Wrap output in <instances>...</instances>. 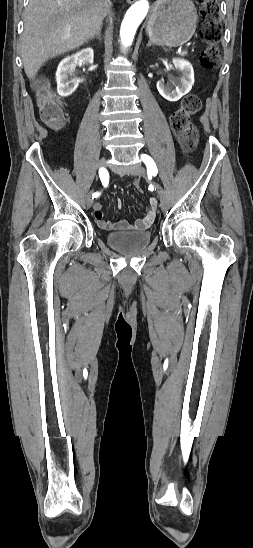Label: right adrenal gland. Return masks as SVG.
<instances>
[{
	"mask_svg": "<svg viewBox=\"0 0 253 548\" xmlns=\"http://www.w3.org/2000/svg\"><path fill=\"white\" fill-rule=\"evenodd\" d=\"M95 37H96L99 41H101V31H99L94 37L90 38V40H93Z\"/></svg>",
	"mask_w": 253,
	"mask_h": 548,
	"instance_id": "obj_1",
	"label": "right adrenal gland"
}]
</instances>
